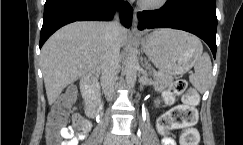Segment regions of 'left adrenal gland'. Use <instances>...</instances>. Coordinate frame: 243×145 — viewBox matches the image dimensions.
I'll return each instance as SVG.
<instances>
[{"instance_id":"obj_1","label":"left adrenal gland","mask_w":243,"mask_h":145,"mask_svg":"<svg viewBox=\"0 0 243 145\" xmlns=\"http://www.w3.org/2000/svg\"><path fill=\"white\" fill-rule=\"evenodd\" d=\"M143 66L145 68V71H148L149 74L152 72L151 67L147 61H145V64Z\"/></svg>"}]
</instances>
